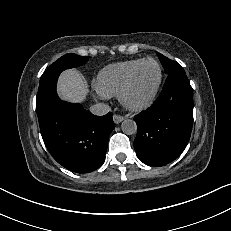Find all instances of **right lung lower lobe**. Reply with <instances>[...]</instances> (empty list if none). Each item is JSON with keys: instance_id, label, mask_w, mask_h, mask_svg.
<instances>
[{"instance_id": "1", "label": "right lung lower lobe", "mask_w": 231, "mask_h": 231, "mask_svg": "<svg viewBox=\"0 0 231 231\" xmlns=\"http://www.w3.org/2000/svg\"><path fill=\"white\" fill-rule=\"evenodd\" d=\"M58 76L39 84L36 111L43 140L52 157L66 169L92 172L104 162L115 128L112 113L95 116L78 103L61 101L56 94Z\"/></svg>"}]
</instances>
